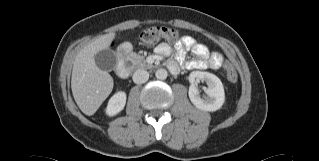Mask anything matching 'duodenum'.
<instances>
[{
    "label": "duodenum",
    "instance_id": "obj_1",
    "mask_svg": "<svg viewBox=\"0 0 319 161\" xmlns=\"http://www.w3.org/2000/svg\"><path fill=\"white\" fill-rule=\"evenodd\" d=\"M130 45L121 44L116 51L115 58L117 62L116 72L119 78L127 79L129 77L130 71L126 65V56L130 51Z\"/></svg>",
    "mask_w": 319,
    "mask_h": 161
}]
</instances>
